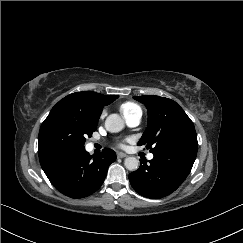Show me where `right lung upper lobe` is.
<instances>
[{
    "label": "right lung upper lobe",
    "mask_w": 243,
    "mask_h": 243,
    "mask_svg": "<svg viewBox=\"0 0 243 243\" xmlns=\"http://www.w3.org/2000/svg\"><path fill=\"white\" fill-rule=\"evenodd\" d=\"M118 97V95L108 96L84 91L72 93L61 99L57 104L79 112L85 117L98 122L103 106L109 105Z\"/></svg>",
    "instance_id": "obj_1"
}]
</instances>
